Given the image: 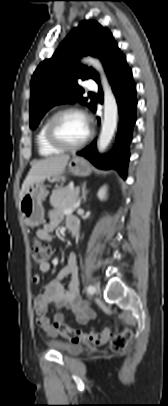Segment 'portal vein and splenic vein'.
I'll use <instances>...</instances> for the list:
<instances>
[{
    "label": "portal vein and splenic vein",
    "instance_id": "1",
    "mask_svg": "<svg viewBox=\"0 0 168 406\" xmlns=\"http://www.w3.org/2000/svg\"><path fill=\"white\" fill-rule=\"evenodd\" d=\"M77 207H79V202L76 203L75 205H73L71 208H68V209L64 210V213L65 214H71L74 211V209L77 208Z\"/></svg>",
    "mask_w": 168,
    "mask_h": 406
}]
</instances>
